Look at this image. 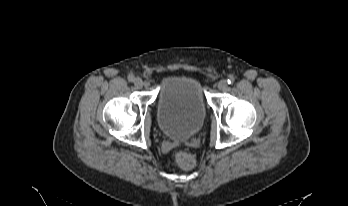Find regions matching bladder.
Masks as SVG:
<instances>
[{
  "instance_id": "1",
  "label": "bladder",
  "mask_w": 348,
  "mask_h": 206,
  "mask_svg": "<svg viewBox=\"0 0 348 206\" xmlns=\"http://www.w3.org/2000/svg\"><path fill=\"white\" fill-rule=\"evenodd\" d=\"M158 124L172 139H188L196 134L206 116V102L200 82L190 76H169L160 86Z\"/></svg>"
}]
</instances>
